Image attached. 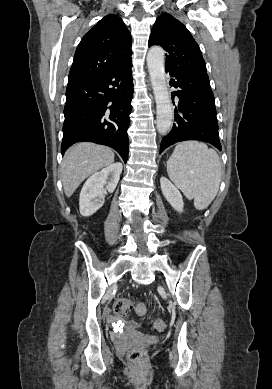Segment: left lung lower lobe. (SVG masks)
<instances>
[{"instance_id":"1","label":"left lung lower lobe","mask_w":272,"mask_h":389,"mask_svg":"<svg viewBox=\"0 0 272 389\" xmlns=\"http://www.w3.org/2000/svg\"><path fill=\"white\" fill-rule=\"evenodd\" d=\"M170 75L175 78L170 85L178 88L171 97L174 102L177 96L179 102L174 111L176 123L162 139L160 153L170 145L186 140L204 141L221 150L214 95L207 73L170 72Z\"/></svg>"}]
</instances>
